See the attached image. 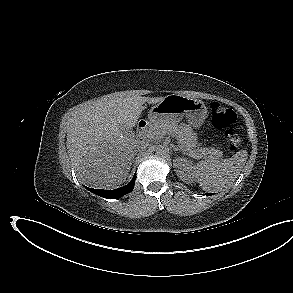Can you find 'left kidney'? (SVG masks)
Listing matches in <instances>:
<instances>
[{"mask_svg":"<svg viewBox=\"0 0 293 293\" xmlns=\"http://www.w3.org/2000/svg\"><path fill=\"white\" fill-rule=\"evenodd\" d=\"M177 176L185 183H191L194 166L187 158L178 157L173 160Z\"/></svg>","mask_w":293,"mask_h":293,"instance_id":"obj_1","label":"left kidney"}]
</instances>
